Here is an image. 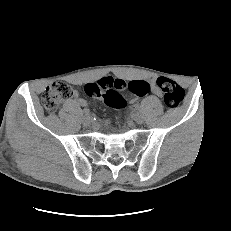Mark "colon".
<instances>
[{
  "label": "colon",
  "mask_w": 231,
  "mask_h": 231,
  "mask_svg": "<svg viewBox=\"0 0 231 231\" xmlns=\"http://www.w3.org/2000/svg\"><path fill=\"white\" fill-rule=\"evenodd\" d=\"M156 85L162 92L164 102L169 108H176L184 99V90L173 80L159 77ZM85 93L91 97H102L104 103L114 109L125 107V99L121 92L130 91L136 96H145L150 91V85L144 80L125 82L112 78H103L84 87ZM74 95L73 88L65 82H54L46 88L42 95V102L49 113H54L59 105Z\"/></svg>",
  "instance_id": "5ec220e1"
}]
</instances>
